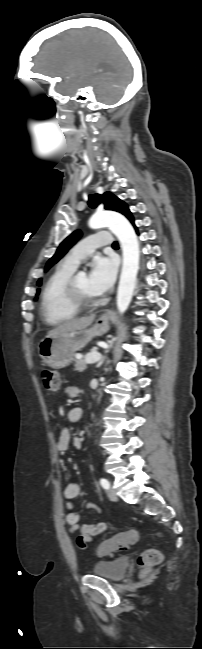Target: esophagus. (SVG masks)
<instances>
[{
	"mask_svg": "<svg viewBox=\"0 0 202 649\" xmlns=\"http://www.w3.org/2000/svg\"><path fill=\"white\" fill-rule=\"evenodd\" d=\"M108 315H109V313L107 312V313L105 314V316H108Z\"/></svg>",
	"mask_w": 202,
	"mask_h": 649,
	"instance_id": "34e87169",
	"label": "esophagus"
}]
</instances>
